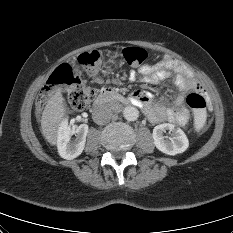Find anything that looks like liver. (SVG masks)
<instances>
[{
	"instance_id": "1",
	"label": "liver",
	"mask_w": 233,
	"mask_h": 233,
	"mask_svg": "<svg viewBox=\"0 0 233 233\" xmlns=\"http://www.w3.org/2000/svg\"><path fill=\"white\" fill-rule=\"evenodd\" d=\"M65 114L64 98L61 90L57 89L48 100L41 117L42 134L51 145L57 144L58 129Z\"/></svg>"
}]
</instances>
